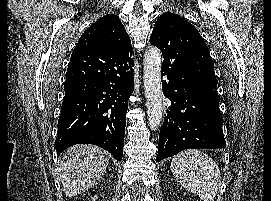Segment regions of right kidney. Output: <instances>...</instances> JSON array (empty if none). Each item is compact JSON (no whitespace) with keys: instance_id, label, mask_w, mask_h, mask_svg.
Here are the masks:
<instances>
[{"instance_id":"right-kidney-1","label":"right kidney","mask_w":271,"mask_h":201,"mask_svg":"<svg viewBox=\"0 0 271 201\" xmlns=\"http://www.w3.org/2000/svg\"><path fill=\"white\" fill-rule=\"evenodd\" d=\"M96 198H97V197L95 196L94 198H92V200L95 201Z\"/></svg>"}]
</instances>
